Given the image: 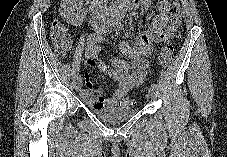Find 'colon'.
<instances>
[{
    "label": "colon",
    "mask_w": 227,
    "mask_h": 157,
    "mask_svg": "<svg viewBox=\"0 0 227 157\" xmlns=\"http://www.w3.org/2000/svg\"><path fill=\"white\" fill-rule=\"evenodd\" d=\"M182 17L179 6L175 3L170 11L169 24L165 31V39H173L178 36L181 26ZM50 37L53 42L56 54L63 58L71 49L72 42L70 40L67 28L59 20H54L51 25ZM172 47L166 44L159 55V63L162 68H167L172 61ZM135 101L131 98H125L121 101L122 107H131Z\"/></svg>",
    "instance_id": "obj_1"
}]
</instances>
